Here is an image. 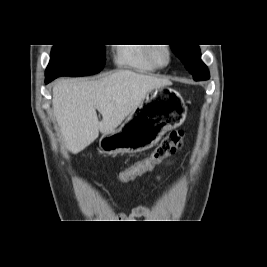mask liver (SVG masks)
Returning a JSON list of instances; mask_svg holds the SVG:
<instances>
[{"label": "liver", "mask_w": 267, "mask_h": 267, "mask_svg": "<svg viewBox=\"0 0 267 267\" xmlns=\"http://www.w3.org/2000/svg\"><path fill=\"white\" fill-rule=\"evenodd\" d=\"M167 79L117 71L98 80L67 79L53 86L52 105L67 149L77 154L123 122L151 90L171 85ZM96 110L102 115L99 122Z\"/></svg>", "instance_id": "obj_1"}]
</instances>
